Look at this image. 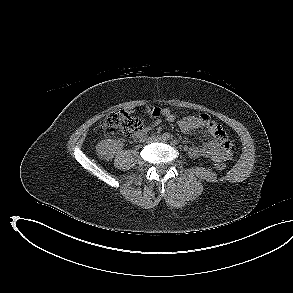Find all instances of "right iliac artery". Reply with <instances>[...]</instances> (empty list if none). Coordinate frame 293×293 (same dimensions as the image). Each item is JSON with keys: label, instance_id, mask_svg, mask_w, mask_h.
<instances>
[{"label": "right iliac artery", "instance_id": "82829eb1", "mask_svg": "<svg viewBox=\"0 0 293 293\" xmlns=\"http://www.w3.org/2000/svg\"><path fill=\"white\" fill-rule=\"evenodd\" d=\"M162 137H163L164 140H169L170 139V134L169 133H164Z\"/></svg>", "mask_w": 293, "mask_h": 293}]
</instances>
